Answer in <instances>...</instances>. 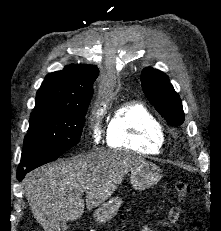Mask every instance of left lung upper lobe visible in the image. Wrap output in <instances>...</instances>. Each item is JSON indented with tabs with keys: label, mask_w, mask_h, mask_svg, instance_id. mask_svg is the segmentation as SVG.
Instances as JSON below:
<instances>
[{
	"label": "left lung upper lobe",
	"mask_w": 221,
	"mask_h": 231,
	"mask_svg": "<svg viewBox=\"0 0 221 231\" xmlns=\"http://www.w3.org/2000/svg\"><path fill=\"white\" fill-rule=\"evenodd\" d=\"M141 84L149 102L173 126L184 122V112L179 95L163 72L145 68L141 73Z\"/></svg>",
	"instance_id": "1"
}]
</instances>
